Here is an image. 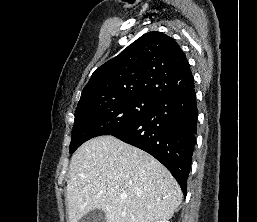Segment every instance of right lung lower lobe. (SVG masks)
Masks as SVG:
<instances>
[{"label": "right lung lower lobe", "mask_w": 257, "mask_h": 222, "mask_svg": "<svg viewBox=\"0 0 257 222\" xmlns=\"http://www.w3.org/2000/svg\"><path fill=\"white\" fill-rule=\"evenodd\" d=\"M197 118L193 85L188 90L158 100L147 115L112 136L154 156L172 173L186 195Z\"/></svg>", "instance_id": "right-lung-lower-lobe-1"}]
</instances>
